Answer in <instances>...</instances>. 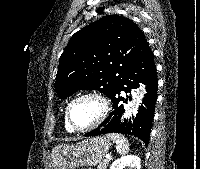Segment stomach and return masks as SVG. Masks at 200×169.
Masks as SVG:
<instances>
[{
  "instance_id": "0dacf381",
  "label": "stomach",
  "mask_w": 200,
  "mask_h": 169,
  "mask_svg": "<svg viewBox=\"0 0 200 169\" xmlns=\"http://www.w3.org/2000/svg\"><path fill=\"white\" fill-rule=\"evenodd\" d=\"M107 137L85 139L75 145H61L53 149L51 163L54 169H76L101 162L110 148Z\"/></svg>"
}]
</instances>
